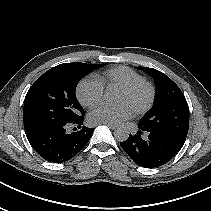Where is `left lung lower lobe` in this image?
I'll return each instance as SVG.
<instances>
[{
	"label": "left lung lower lobe",
	"instance_id": "1",
	"mask_svg": "<svg viewBox=\"0 0 211 211\" xmlns=\"http://www.w3.org/2000/svg\"><path fill=\"white\" fill-rule=\"evenodd\" d=\"M140 130L135 135L130 134L126 141L120 143L123 150L139 166H161L174 157L183 146L162 133L142 128ZM142 131L148 133V138H141Z\"/></svg>",
	"mask_w": 211,
	"mask_h": 211
}]
</instances>
